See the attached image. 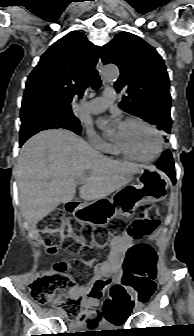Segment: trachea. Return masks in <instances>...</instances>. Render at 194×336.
<instances>
[{"mask_svg":"<svg viewBox=\"0 0 194 336\" xmlns=\"http://www.w3.org/2000/svg\"><path fill=\"white\" fill-rule=\"evenodd\" d=\"M90 85L93 90L100 88L102 82L99 76V73L96 69H93L89 74Z\"/></svg>","mask_w":194,"mask_h":336,"instance_id":"1","label":"trachea"}]
</instances>
